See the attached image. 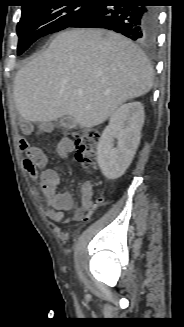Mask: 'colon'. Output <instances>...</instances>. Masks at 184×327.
<instances>
[{"label":"colon","mask_w":184,"mask_h":327,"mask_svg":"<svg viewBox=\"0 0 184 327\" xmlns=\"http://www.w3.org/2000/svg\"><path fill=\"white\" fill-rule=\"evenodd\" d=\"M19 128L22 129L23 124H19ZM72 137L78 162L84 167H93L97 161V146L100 138L98 131L86 129L79 133H74ZM27 148V143L21 139L20 149L26 151ZM83 193L91 194V188L86 186Z\"/></svg>","instance_id":"5ec220e1"}]
</instances>
